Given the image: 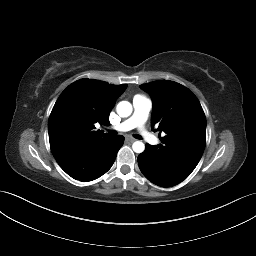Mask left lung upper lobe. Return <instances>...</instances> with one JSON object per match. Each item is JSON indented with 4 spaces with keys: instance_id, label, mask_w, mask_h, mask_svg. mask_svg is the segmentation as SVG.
I'll return each mask as SVG.
<instances>
[{
    "instance_id": "obj_1",
    "label": "left lung upper lobe",
    "mask_w": 256,
    "mask_h": 256,
    "mask_svg": "<svg viewBox=\"0 0 256 256\" xmlns=\"http://www.w3.org/2000/svg\"><path fill=\"white\" fill-rule=\"evenodd\" d=\"M153 101L152 128L166 135L157 153L177 165L194 170L206 144V118L196 96L183 85L159 80L140 85Z\"/></svg>"
}]
</instances>
